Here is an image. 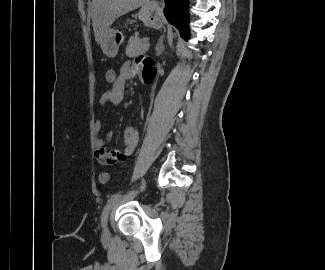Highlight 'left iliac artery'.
<instances>
[{
  "label": "left iliac artery",
  "instance_id": "left-iliac-artery-1",
  "mask_svg": "<svg viewBox=\"0 0 325 270\" xmlns=\"http://www.w3.org/2000/svg\"><path fill=\"white\" fill-rule=\"evenodd\" d=\"M145 188V182L144 180L142 181V185H141V191L144 190ZM121 194L117 193L114 194L106 203L105 207L103 208L102 214H101V225L102 227L106 226L107 223V218H108V214L112 208V206L114 205V203L120 198Z\"/></svg>",
  "mask_w": 325,
  "mask_h": 270
}]
</instances>
